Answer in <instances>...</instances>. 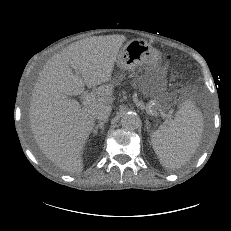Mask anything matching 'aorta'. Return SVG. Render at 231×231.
I'll return each instance as SVG.
<instances>
[{
	"label": "aorta",
	"instance_id": "762f6f07",
	"mask_svg": "<svg viewBox=\"0 0 231 231\" xmlns=\"http://www.w3.org/2000/svg\"><path fill=\"white\" fill-rule=\"evenodd\" d=\"M122 127L129 130L137 129L140 119L135 113H126L121 118Z\"/></svg>",
	"mask_w": 231,
	"mask_h": 231
}]
</instances>
